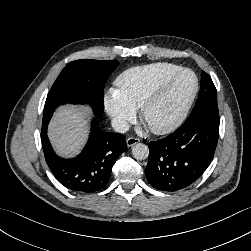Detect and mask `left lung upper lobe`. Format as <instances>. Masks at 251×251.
Wrapping results in <instances>:
<instances>
[{
    "label": "left lung upper lobe",
    "mask_w": 251,
    "mask_h": 251,
    "mask_svg": "<svg viewBox=\"0 0 251 251\" xmlns=\"http://www.w3.org/2000/svg\"><path fill=\"white\" fill-rule=\"evenodd\" d=\"M201 76V87L198 99L188 119L198 117L219 119L216 88L211 77L206 72L203 71Z\"/></svg>",
    "instance_id": "left-lung-upper-lobe-1"
}]
</instances>
